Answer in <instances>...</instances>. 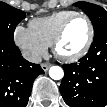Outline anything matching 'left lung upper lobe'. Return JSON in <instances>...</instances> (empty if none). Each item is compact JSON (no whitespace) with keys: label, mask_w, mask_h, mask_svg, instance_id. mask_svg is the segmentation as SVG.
<instances>
[{"label":"left lung upper lobe","mask_w":107,"mask_h":107,"mask_svg":"<svg viewBox=\"0 0 107 107\" xmlns=\"http://www.w3.org/2000/svg\"><path fill=\"white\" fill-rule=\"evenodd\" d=\"M74 5L82 9L91 19L94 27V36L107 31V11L105 9L87 2H77Z\"/></svg>","instance_id":"obj_1"}]
</instances>
